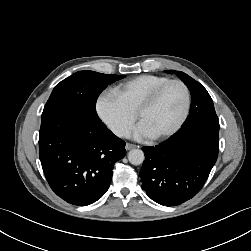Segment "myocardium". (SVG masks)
Returning a JSON list of instances; mask_svg holds the SVG:
<instances>
[{
  "label": "myocardium",
  "mask_w": 251,
  "mask_h": 251,
  "mask_svg": "<svg viewBox=\"0 0 251 251\" xmlns=\"http://www.w3.org/2000/svg\"><path fill=\"white\" fill-rule=\"evenodd\" d=\"M172 84H178L180 85L185 93V104H184V108L183 111L179 117V119L177 120V122L166 132L156 135V136H152V140L155 141H161V140H165L170 138L171 136H173L175 133L178 132V130L183 126L184 122L187 119V116L189 114V110H190V105H191V93H190V89L189 87L186 85L185 82H183L180 79H170L168 81H166L165 83L161 84L160 86H158L138 107L137 111H136V117L137 119L140 121L141 115L149 110L151 107H153L155 105V103L158 101L159 97L161 96V94L164 92V90L172 85Z\"/></svg>",
  "instance_id": "myocardium-1"
}]
</instances>
